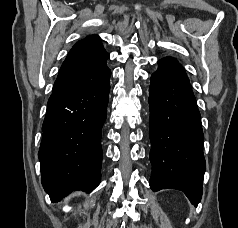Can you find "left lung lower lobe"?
<instances>
[{"mask_svg":"<svg viewBox=\"0 0 238 228\" xmlns=\"http://www.w3.org/2000/svg\"><path fill=\"white\" fill-rule=\"evenodd\" d=\"M158 65L149 88L150 187L181 190L197 206L206 167L201 116L184 68L171 57Z\"/></svg>","mask_w":238,"mask_h":228,"instance_id":"obj_1","label":"left lung lower lobe"}]
</instances>
